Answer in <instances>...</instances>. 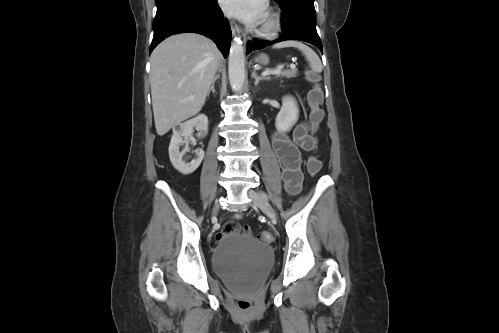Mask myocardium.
<instances>
[{"label":"myocardium","mask_w":499,"mask_h":333,"mask_svg":"<svg viewBox=\"0 0 499 333\" xmlns=\"http://www.w3.org/2000/svg\"><path fill=\"white\" fill-rule=\"evenodd\" d=\"M281 28V19L278 13L269 11L258 30L260 36L264 38L275 37Z\"/></svg>","instance_id":"f54148a6"}]
</instances>
